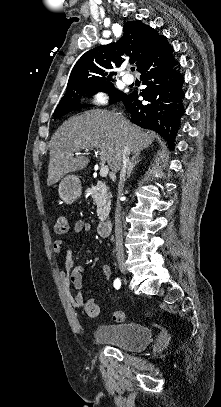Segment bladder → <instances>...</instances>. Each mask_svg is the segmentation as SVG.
I'll list each match as a JSON object with an SVG mask.
<instances>
[{
    "label": "bladder",
    "instance_id": "31cf9c89",
    "mask_svg": "<svg viewBox=\"0 0 221 407\" xmlns=\"http://www.w3.org/2000/svg\"><path fill=\"white\" fill-rule=\"evenodd\" d=\"M154 331L144 324H108L95 328L94 338L100 343L111 344L125 351L138 352L147 347Z\"/></svg>",
    "mask_w": 221,
    "mask_h": 407
}]
</instances>
